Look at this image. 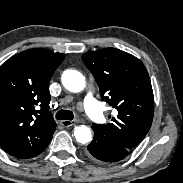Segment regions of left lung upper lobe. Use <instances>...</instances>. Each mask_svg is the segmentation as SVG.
<instances>
[{
	"label": "left lung upper lobe",
	"mask_w": 183,
	"mask_h": 183,
	"mask_svg": "<svg viewBox=\"0 0 183 183\" xmlns=\"http://www.w3.org/2000/svg\"><path fill=\"white\" fill-rule=\"evenodd\" d=\"M82 60L95 77L101 99L116 109L109 124H93L92 128L132 150L144 139L153 120V90L145 66L115 48L87 52Z\"/></svg>",
	"instance_id": "5c2ea615"
}]
</instances>
